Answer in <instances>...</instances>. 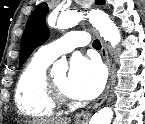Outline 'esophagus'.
Instances as JSON below:
<instances>
[{
  "label": "esophagus",
  "instance_id": "esophagus-1",
  "mask_svg": "<svg viewBox=\"0 0 145 124\" xmlns=\"http://www.w3.org/2000/svg\"><path fill=\"white\" fill-rule=\"evenodd\" d=\"M94 32H95L96 36L100 39L101 55L103 57L104 62L106 63V65L108 67L109 77H108V82H107L104 92L97 99V101L94 103V105L92 107H90V110L97 109L107 99V97L109 95L110 86H111V80H112V69H111V64H110L107 47H106L104 41L100 38L99 34L96 31H94ZM90 110H85V111H82V112L76 114L75 122L77 124H87L90 119V116H91Z\"/></svg>",
  "mask_w": 145,
  "mask_h": 124
}]
</instances>
